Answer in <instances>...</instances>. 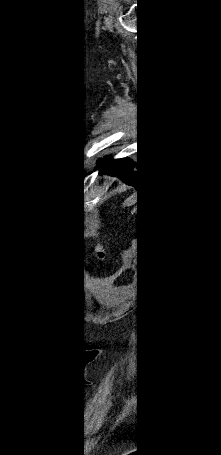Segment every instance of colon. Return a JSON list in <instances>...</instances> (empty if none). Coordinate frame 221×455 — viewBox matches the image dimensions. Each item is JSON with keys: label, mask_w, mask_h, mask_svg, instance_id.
Returning a JSON list of instances; mask_svg holds the SVG:
<instances>
[{"label": "colon", "mask_w": 221, "mask_h": 455, "mask_svg": "<svg viewBox=\"0 0 221 455\" xmlns=\"http://www.w3.org/2000/svg\"><path fill=\"white\" fill-rule=\"evenodd\" d=\"M94 256L98 259H103L105 257V250L100 242H98L94 247Z\"/></svg>", "instance_id": "5ec220e1"}]
</instances>
